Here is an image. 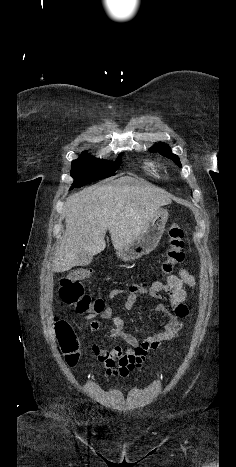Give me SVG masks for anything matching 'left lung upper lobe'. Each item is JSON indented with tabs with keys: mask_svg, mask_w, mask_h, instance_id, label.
Wrapping results in <instances>:
<instances>
[{
	"mask_svg": "<svg viewBox=\"0 0 236 467\" xmlns=\"http://www.w3.org/2000/svg\"><path fill=\"white\" fill-rule=\"evenodd\" d=\"M151 152H159L161 155L169 158V159H172L178 166L181 167V163L179 161V158L178 156H176L175 154H173L171 152V149L169 146L163 144V143H158L156 145H154L151 149H150Z\"/></svg>",
	"mask_w": 236,
	"mask_h": 467,
	"instance_id": "1",
	"label": "left lung upper lobe"
}]
</instances>
